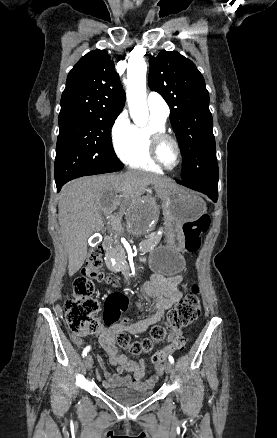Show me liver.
<instances>
[{
  "label": "liver",
  "instance_id": "liver-1",
  "mask_svg": "<svg viewBox=\"0 0 277 438\" xmlns=\"http://www.w3.org/2000/svg\"><path fill=\"white\" fill-rule=\"evenodd\" d=\"M150 184L166 190L174 188L172 180L134 170L120 176L79 178L62 188L58 220L68 254L69 276H74L82 268L87 256L88 238L104 228L100 212L111 214L117 206H126L131 210Z\"/></svg>",
  "mask_w": 277,
  "mask_h": 438
}]
</instances>
